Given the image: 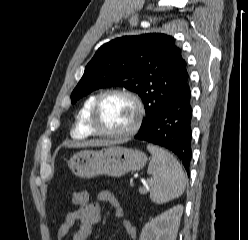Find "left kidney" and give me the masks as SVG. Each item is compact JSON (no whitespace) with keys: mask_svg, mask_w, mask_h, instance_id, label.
<instances>
[{"mask_svg":"<svg viewBox=\"0 0 248 240\" xmlns=\"http://www.w3.org/2000/svg\"><path fill=\"white\" fill-rule=\"evenodd\" d=\"M183 206L177 205L147 223L139 240H176Z\"/></svg>","mask_w":248,"mask_h":240,"instance_id":"1","label":"left kidney"}]
</instances>
